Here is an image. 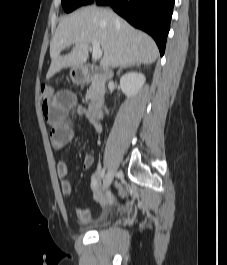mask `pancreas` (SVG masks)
<instances>
[{
  "mask_svg": "<svg viewBox=\"0 0 227 265\" xmlns=\"http://www.w3.org/2000/svg\"><path fill=\"white\" fill-rule=\"evenodd\" d=\"M97 87H98V84L96 82H93L89 90L87 91L86 98H91L94 95Z\"/></svg>",
  "mask_w": 227,
  "mask_h": 265,
  "instance_id": "obj_1",
  "label": "pancreas"
}]
</instances>
